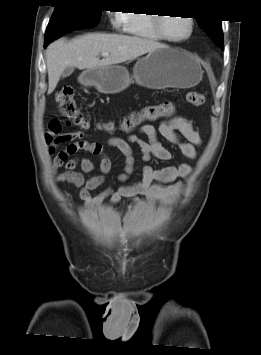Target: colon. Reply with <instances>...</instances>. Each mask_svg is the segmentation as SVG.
Here are the masks:
<instances>
[{"instance_id":"obj_1","label":"colon","mask_w":261,"mask_h":355,"mask_svg":"<svg viewBox=\"0 0 261 355\" xmlns=\"http://www.w3.org/2000/svg\"><path fill=\"white\" fill-rule=\"evenodd\" d=\"M188 103L192 106L199 107L205 104L206 96L203 93L192 91L186 96ZM56 101L59 104L60 114L68 120L69 123L83 129H89L91 124L85 117L84 113L78 106L74 98V90L70 86H64L56 93ZM175 113V106L170 101H165L155 105L143 107L139 111H135L126 117L121 125L120 130L129 133L137 129L141 124L149 121H156L158 119H168ZM50 127L54 131L60 129L57 121H52ZM102 130L112 133L115 128L111 124H105L101 127Z\"/></svg>"}]
</instances>
